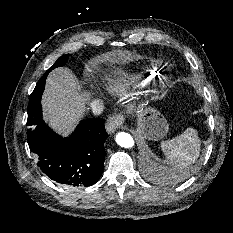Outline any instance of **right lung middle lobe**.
I'll use <instances>...</instances> for the list:
<instances>
[{
  "mask_svg": "<svg viewBox=\"0 0 233 233\" xmlns=\"http://www.w3.org/2000/svg\"><path fill=\"white\" fill-rule=\"evenodd\" d=\"M69 58V54H65L61 56L46 72L44 75H48V73L57 68L63 66ZM41 118V106L38 105L36 102L31 103L28 106V120L27 126H29V132H31L35 125L37 124L38 120ZM28 132V133H29Z\"/></svg>",
  "mask_w": 233,
  "mask_h": 233,
  "instance_id": "dd1d6c3e",
  "label": "right lung middle lobe"
}]
</instances>
